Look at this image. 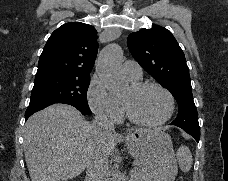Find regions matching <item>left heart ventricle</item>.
<instances>
[{
	"instance_id": "obj_1",
	"label": "left heart ventricle",
	"mask_w": 228,
	"mask_h": 181,
	"mask_svg": "<svg viewBox=\"0 0 228 181\" xmlns=\"http://www.w3.org/2000/svg\"><path fill=\"white\" fill-rule=\"evenodd\" d=\"M120 77L127 81L122 76ZM124 96L131 103L134 112L142 119L157 120L166 111L167 100L156 88L148 87L138 93H132L128 88Z\"/></svg>"
}]
</instances>
